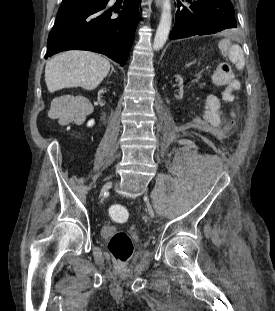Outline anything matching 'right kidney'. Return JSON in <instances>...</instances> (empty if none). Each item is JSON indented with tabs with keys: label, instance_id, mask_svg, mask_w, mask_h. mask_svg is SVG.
Listing matches in <instances>:
<instances>
[{
	"label": "right kidney",
	"instance_id": "1",
	"mask_svg": "<svg viewBox=\"0 0 275 311\" xmlns=\"http://www.w3.org/2000/svg\"><path fill=\"white\" fill-rule=\"evenodd\" d=\"M113 95H114V92L112 90H107L105 87H100L98 89L96 103L103 106L105 103L104 97H112Z\"/></svg>",
	"mask_w": 275,
	"mask_h": 311
}]
</instances>
